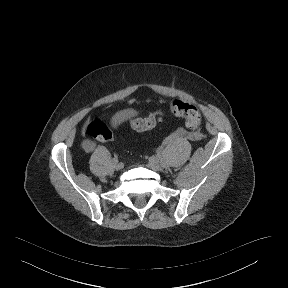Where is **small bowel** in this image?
Returning a JSON list of instances; mask_svg holds the SVG:
<instances>
[{"mask_svg": "<svg viewBox=\"0 0 288 288\" xmlns=\"http://www.w3.org/2000/svg\"><path fill=\"white\" fill-rule=\"evenodd\" d=\"M85 148H86L87 151H91L93 149V144L88 142V143L85 144Z\"/></svg>", "mask_w": 288, "mask_h": 288, "instance_id": "1", "label": "small bowel"}]
</instances>
